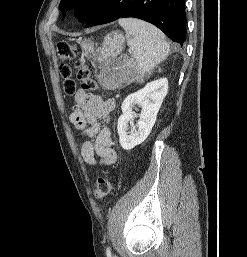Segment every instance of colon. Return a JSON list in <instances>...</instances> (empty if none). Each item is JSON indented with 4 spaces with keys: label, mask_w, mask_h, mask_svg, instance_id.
<instances>
[{
    "label": "colon",
    "mask_w": 247,
    "mask_h": 257,
    "mask_svg": "<svg viewBox=\"0 0 247 257\" xmlns=\"http://www.w3.org/2000/svg\"><path fill=\"white\" fill-rule=\"evenodd\" d=\"M79 55L77 46L70 43H59L57 45V56L60 62L59 70L63 77V88L67 94H73L77 88V81L81 84V89L94 91L97 89L96 82L91 78L90 71L82 59H77ZM77 59V60H76ZM75 61L76 79L73 77L72 61ZM112 177L105 174L98 178L94 195L97 199H105L112 189Z\"/></svg>",
    "instance_id": "1"
}]
</instances>
